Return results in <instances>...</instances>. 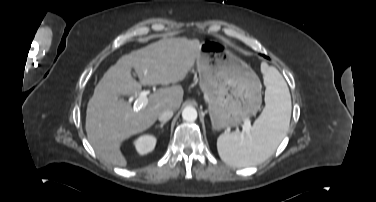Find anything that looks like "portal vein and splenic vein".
Returning <instances> with one entry per match:
<instances>
[{
    "label": "portal vein and splenic vein",
    "mask_w": 376,
    "mask_h": 202,
    "mask_svg": "<svg viewBox=\"0 0 376 202\" xmlns=\"http://www.w3.org/2000/svg\"><path fill=\"white\" fill-rule=\"evenodd\" d=\"M147 104H148L147 94L145 92H142L139 95V97L136 99V101L134 103V108L140 109L141 107L146 106ZM244 130L246 131V133L250 132V121L249 120L245 121Z\"/></svg>",
    "instance_id": "1"
}]
</instances>
